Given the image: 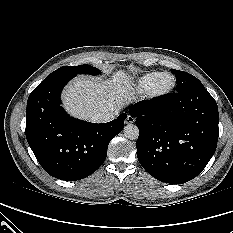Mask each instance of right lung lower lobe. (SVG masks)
<instances>
[{
	"label": "right lung lower lobe",
	"instance_id": "obj_1",
	"mask_svg": "<svg viewBox=\"0 0 233 233\" xmlns=\"http://www.w3.org/2000/svg\"><path fill=\"white\" fill-rule=\"evenodd\" d=\"M73 77L42 82L29 95L26 109V138L34 155L48 174L67 181L83 179L103 164L109 142L127 118L123 113L96 124L70 117L60 106V94Z\"/></svg>",
	"mask_w": 233,
	"mask_h": 233
}]
</instances>
